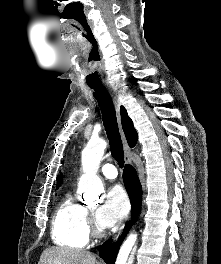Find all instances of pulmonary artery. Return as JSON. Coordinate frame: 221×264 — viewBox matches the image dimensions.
I'll list each match as a JSON object with an SVG mask.
<instances>
[{
    "label": "pulmonary artery",
    "mask_w": 221,
    "mask_h": 264,
    "mask_svg": "<svg viewBox=\"0 0 221 264\" xmlns=\"http://www.w3.org/2000/svg\"><path fill=\"white\" fill-rule=\"evenodd\" d=\"M101 173L107 179H115L117 177V174H118L116 167L111 163L104 164L101 168Z\"/></svg>",
    "instance_id": "obj_1"
}]
</instances>
